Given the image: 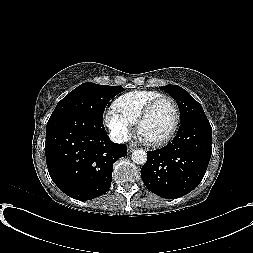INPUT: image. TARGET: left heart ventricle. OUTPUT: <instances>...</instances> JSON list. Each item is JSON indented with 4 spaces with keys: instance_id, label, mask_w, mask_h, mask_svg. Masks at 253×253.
Here are the masks:
<instances>
[{
    "instance_id": "obj_1",
    "label": "left heart ventricle",
    "mask_w": 253,
    "mask_h": 253,
    "mask_svg": "<svg viewBox=\"0 0 253 253\" xmlns=\"http://www.w3.org/2000/svg\"><path fill=\"white\" fill-rule=\"evenodd\" d=\"M175 121V110L171 102L159 103L141 127V136L149 141L164 138L172 129Z\"/></svg>"
}]
</instances>
